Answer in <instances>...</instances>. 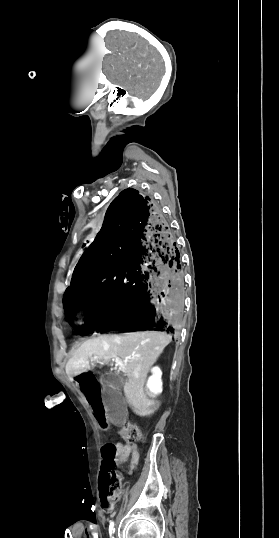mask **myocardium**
Listing matches in <instances>:
<instances>
[{
	"instance_id": "f54148a6",
	"label": "myocardium",
	"mask_w": 279,
	"mask_h": 538,
	"mask_svg": "<svg viewBox=\"0 0 279 538\" xmlns=\"http://www.w3.org/2000/svg\"><path fill=\"white\" fill-rule=\"evenodd\" d=\"M101 216H102V214L100 215V217H101ZM73 232H74V236H76V234H77L76 231L74 230Z\"/></svg>"
}]
</instances>
